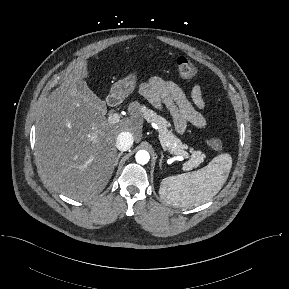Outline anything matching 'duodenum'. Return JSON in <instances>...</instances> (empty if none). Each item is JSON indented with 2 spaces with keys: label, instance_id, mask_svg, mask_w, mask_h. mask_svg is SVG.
I'll return each instance as SVG.
<instances>
[{
  "label": "duodenum",
  "instance_id": "obj_1",
  "mask_svg": "<svg viewBox=\"0 0 289 289\" xmlns=\"http://www.w3.org/2000/svg\"><path fill=\"white\" fill-rule=\"evenodd\" d=\"M119 104V98L117 96H110L108 99V105L110 107H115Z\"/></svg>",
  "mask_w": 289,
  "mask_h": 289
}]
</instances>
